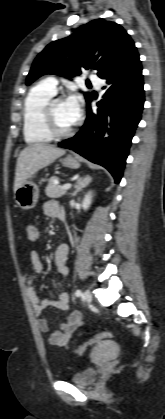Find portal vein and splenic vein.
<instances>
[{"label":"portal vein and splenic vein","mask_w":165,"mask_h":419,"mask_svg":"<svg viewBox=\"0 0 165 419\" xmlns=\"http://www.w3.org/2000/svg\"><path fill=\"white\" fill-rule=\"evenodd\" d=\"M71 186H72V184L67 183V184H64V185L62 186V189H63V190H68V189H70V188H71Z\"/></svg>","instance_id":"1"}]
</instances>
